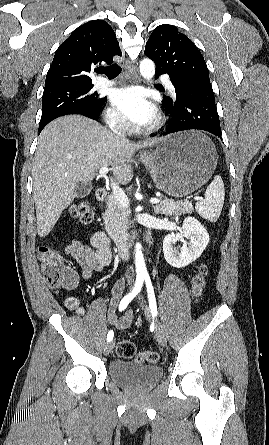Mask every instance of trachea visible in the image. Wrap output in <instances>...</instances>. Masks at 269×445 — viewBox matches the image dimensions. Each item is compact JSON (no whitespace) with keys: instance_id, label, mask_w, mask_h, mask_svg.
<instances>
[{"instance_id":"obj_1","label":"trachea","mask_w":269,"mask_h":445,"mask_svg":"<svg viewBox=\"0 0 269 445\" xmlns=\"http://www.w3.org/2000/svg\"><path fill=\"white\" fill-rule=\"evenodd\" d=\"M121 70L120 66L113 64L109 67L99 69L98 72L105 74L109 78H115L120 74Z\"/></svg>"}]
</instances>
